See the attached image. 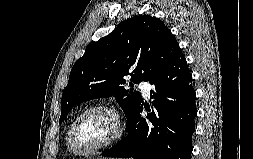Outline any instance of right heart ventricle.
Segmentation results:
<instances>
[{
  "instance_id": "obj_1",
  "label": "right heart ventricle",
  "mask_w": 253,
  "mask_h": 159,
  "mask_svg": "<svg viewBox=\"0 0 253 159\" xmlns=\"http://www.w3.org/2000/svg\"><path fill=\"white\" fill-rule=\"evenodd\" d=\"M66 145L68 146V131L66 133Z\"/></svg>"
}]
</instances>
